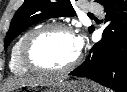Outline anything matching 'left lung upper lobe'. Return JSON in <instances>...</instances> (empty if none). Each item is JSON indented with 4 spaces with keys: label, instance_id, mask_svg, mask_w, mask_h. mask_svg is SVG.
Here are the masks:
<instances>
[{
    "label": "left lung upper lobe",
    "instance_id": "1",
    "mask_svg": "<svg viewBox=\"0 0 127 92\" xmlns=\"http://www.w3.org/2000/svg\"><path fill=\"white\" fill-rule=\"evenodd\" d=\"M106 6L113 0H95ZM75 11L70 0H24L23 5L16 11L9 31L5 38V50L13 39L33 24L52 17H73ZM94 30L93 26L89 31Z\"/></svg>",
    "mask_w": 127,
    "mask_h": 92
}]
</instances>
